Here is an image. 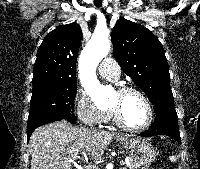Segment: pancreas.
<instances>
[{"label": "pancreas", "instance_id": "obj_1", "mask_svg": "<svg viewBox=\"0 0 200 169\" xmlns=\"http://www.w3.org/2000/svg\"><path fill=\"white\" fill-rule=\"evenodd\" d=\"M136 168H138V166L130 159V161L126 163V167L121 169H136Z\"/></svg>", "mask_w": 200, "mask_h": 169}]
</instances>
